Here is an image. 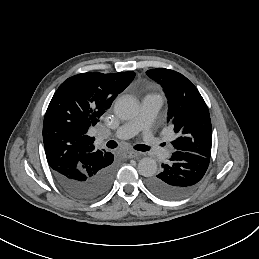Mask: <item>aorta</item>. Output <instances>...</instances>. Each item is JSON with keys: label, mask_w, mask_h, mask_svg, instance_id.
<instances>
[{"label": "aorta", "mask_w": 259, "mask_h": 259, "mask_svg": "<svg viewBox=\"0 0 259 259\" xmlns=\"http://www.w3.org/2000/svg\"><path fill=\"white\" fill-rule=\"evenodd\" d=\"M139 103L128 95L119 97L114 105V112L122 120H130L138 114ZM138 172L144 177H152L157 172V163L153 158H142L138 163Z\"/></svg>", "instance_id": "762f6f07"}]
</instances>
